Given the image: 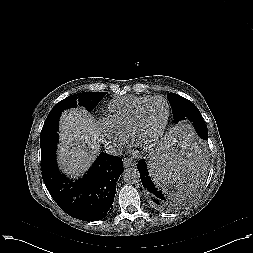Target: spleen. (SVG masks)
Instances as JSON below:
<instances>
[{
	"label": "spleen",
	"mask_w": 253,
	"mask_h": 253,
	"mask_svg": "<svg viewBox=\"0 0 253 253\" xmlns=\"http://www.w3.org/2000/svg\"><path fill=\"white\" fill-rule=\"evenodd\" d=\"M149 170L160 192L181 197L193 191L202 174V154L193 130L176 126L154 148Z\"/></svg>",
	"instance_id": "obj_1"
}]
</instances>
